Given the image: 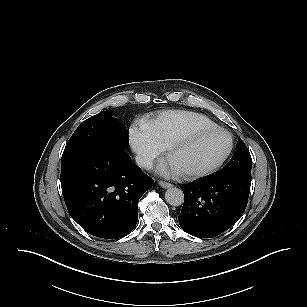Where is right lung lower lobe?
<instances>
[{"instance_id": "obj_1", "label": "right lung lower lobe", "mask_w": 307, "mask_h": 307, "mask_svg": "<svg viewBox=\"0 0 307 307\" xmlns=\"http://www.w3.org/2000/svg\"><path fill=\"white\" fill-rule=\"evenodd\" d=\"M154 181L122 148L100 146L62 161L61 187L71 217L89 234L127 235L138 220V202Z\"/></svg>"}]
</instances>
